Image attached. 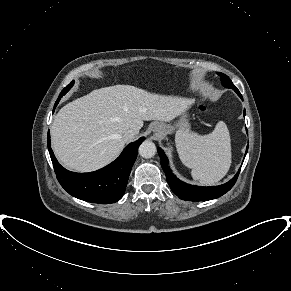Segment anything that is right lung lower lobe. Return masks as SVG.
<instances>
[{"label":"right lung lower lobe","mask_w":291,"mask_h":291,"mask_svg":"<svg viewBox=\"0 0 291 291\" xmlns=\"http://www.w3.org/2000/svg\"><path fill=\"white\" fill-rule=\"evenodd\" d=\"M143 140L144 137L129 144L114 162L90 173H74L63 168L51 149L49 132L47 146L57 179L66 192L87 202L111 204L119 201L124 195L138 148Z\"/></svg>","instance_id":"right-lung-lower-lobe-1"}]
</instances>
